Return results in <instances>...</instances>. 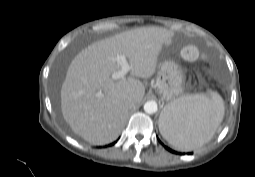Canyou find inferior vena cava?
<instances>
[{
    "label": "inferior vena cava",
    "mask_w": 255,
    "mask_h": 177,
    "mask_svg": "<svg viewBox=\"0 0 255 177\" xmlns=\"http://www.w3.org/2000/svg\"><path fill=\"white\" fill-rule=\"evenodd\" d=\"M125 104L128 109H131L135 106V101L132 98H129L126 100Z\"/></svg>",
    "instance_id": "602c4592"
}]
</instances>
